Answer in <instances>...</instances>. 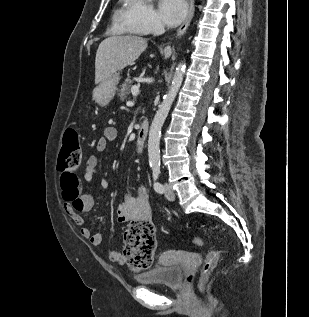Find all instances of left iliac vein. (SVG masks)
Returning <instances> with one entry per match:
<instances>
[{
    "instance_id": "4c4485c4",
    "label": "left iliac vein",
    "mask_w": 309,
    "mask_h": 317,
    "mask_svg": "<svg viewBox=\"0 0 309 317\" xmlns=\"http://www.w3.org/2000/svg\"><path fill=\"white\" fill-rule=\"evenodd\" d=\"M164 188H165V197L169 201H174L175 200V193H174L172 187L169 184H165Z\"/></svg>"
}]
</instances>
